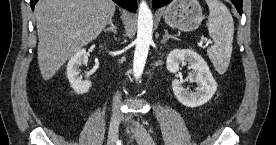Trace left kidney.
Listing matches in <instances>:
<instances>
[{
	"instance_id": "5707ae66",
	"label": "left kidney",
	"mask_w": 276,
	"mask_h": 145,
	"mask_svg": "<svg viewBox=\"0 0 276 145\" xmlns=\"http://www.w3.org/2000/svg\"><path fill=\"white\" fill-rule=\"evenodd\" d=\"M188 63L192 71L188 75L190 82L197 84L196 91H189L183 87L182 79L172 81V89L180 103L195 108L207 103L217 90V83L204 59L191 49H174L167 56V69L177 73L180 65Z\"/></svg>"
}]
</instances>
